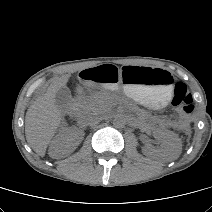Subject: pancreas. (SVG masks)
Segmentation results:
<instances>
[{"mask_svg":"<svg viewBox=\"0 0 212 212\" xmlns=\"http://www.w3.org/2000/svg\"><path fill=\"white\" fill-rule=\"evenodd\" d=\"M77 103L83 111L92 109H105L110 105L99 94H93L91 96H80L77 99Z\"/></svg>","mask_w":212,"mask_h":212,"instance_id":"pancreas-1","label":"pancreas"}]
</instances>
